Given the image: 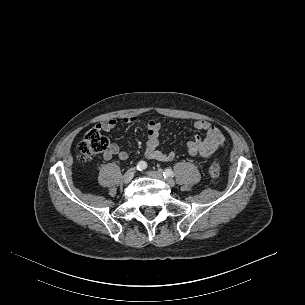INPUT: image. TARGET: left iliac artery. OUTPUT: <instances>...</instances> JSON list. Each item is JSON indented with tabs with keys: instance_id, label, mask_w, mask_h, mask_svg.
<instances>
[{
	"instance_id": "left-iliac-artery-1",
	"label": "left iliac artery",
	"mask_w": 305,
	"mask_h": 305,
	"mask_svg": "<svg viewBox=\"0 0 305 305\" xmlns=\"http://www.w3.org/2000/svg\"><path fill=\"white\" fill-rule=\"evenodd\" d=\"M164 178H167V177H174V172L171 170V169H166L165 171H164Z\"/></svg>"
}]
</instances>
